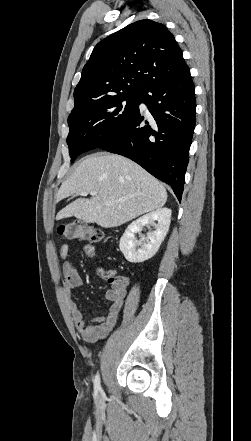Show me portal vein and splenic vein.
<instances>
[{"label": "portal vein and splenic vein", "mask_w": 251, "mask_h": 441, "mask_svg": "<svg viewBox=\"0 0 251 441\" xmlns=\"http://www.w3.org/2000/svg\"><path fill=\"white\" fill-rule=\"evenodd\" d=\"M80 196H87L88 194H90L91 196H96L97 193L96 192H86V191H82L78 193ZM106 205H111L112 202L111 201H106L105 202Z\"/></svg>", "instance_id": "obj_1"}]
</instances>
